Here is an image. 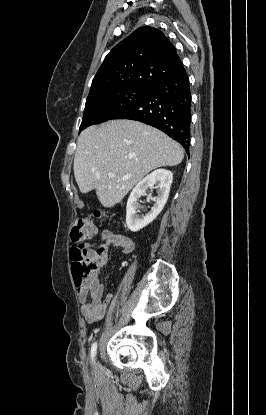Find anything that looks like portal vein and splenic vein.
<instances>
[{
	"instance_id": "1",
	"label": "portal vein and splenic vein",
	"mask_w": 266,
	"mask_h": 415,
	"mask_svg": "<svg viewBox=\"0 0 266 415\" xmlns=\"http://www.w3.org/2000/svg\"><path fill=\"white\" fill-rule=\"evenodd\" d=\"M115 176V174L113 173V172H109L108 173V177L109 178H113ZM130 176L129 175H126V176H124L123 178H122V180H126V179H128Z\"/></svg>"
}]
</instances>
